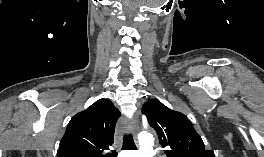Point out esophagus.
<instances>
[{"label":"esophagus","mask_w":264,"mask_h":157,"mask_svg":"<svg viewBox=\"0 0 264 157\" xmlns=\"http://www.w3.org/2000/svg\"><path fill=\"white\" fill-rule=\"evenodd\" d=\"M126 129L129 132H133L134 136L136 137V120L130 119L126 122Z\"/></svg>","instance_id":"obj_1"}]
</instances>
